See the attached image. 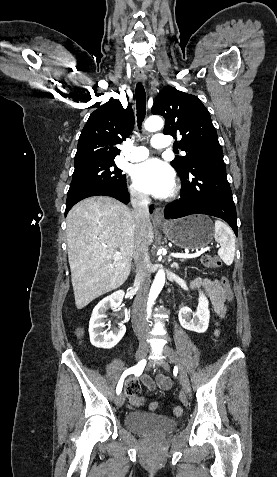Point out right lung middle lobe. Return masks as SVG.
<instances>
[{
  "label": "right lung middle lobe",
  "mask_w": 277,
  "mask_h": 477,
  "mask_svg": "<svg viewBox=\"0 0 277 477\" xmlns=\"http://www.w3.org/2000/svg\"><path fill=\"white\" fill-rule=\"evenodd\" d=\"M100 187L115 189L126 187V176L122 174V170L115 165L114 161L95 162L75 167L66 203L73 201L84 192Z\"/></svg>",
  "instance_id": "obj_1"
}]
</instances>
